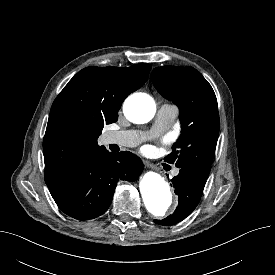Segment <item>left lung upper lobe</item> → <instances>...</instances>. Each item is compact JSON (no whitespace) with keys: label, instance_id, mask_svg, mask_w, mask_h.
<instances>
[{"label":"left lung upper lobe","instance_id":"5c2ea615","mask_svg":"<svg viewBox=\"0 0 275 275\" xmlns=\"http://www.w3.org/2000/svg\"><path fill=\"white\" fill-rule=\"evenodd\" d=\"M151 80L164 98L178 106L182 125L181 136L165 160L178 168L194 166L210 173L220 125L211 85L190 66L157 67Z\"/></svg>","mask_w":275,"mask_h":275}]
</instances>
